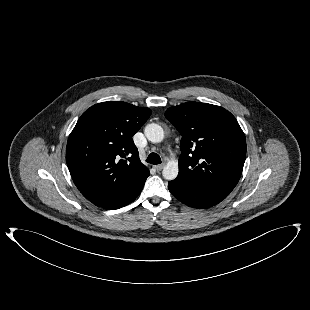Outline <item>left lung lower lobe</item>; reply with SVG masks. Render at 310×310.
<instances>
[{
	"label": "left lung lower lobe",
	"mask_w": 310,
	"mask_h": 310,
	"mask_svg": "<svg viewBox=\"0 0 310 310\" xmlns=\"http://www.w3.org/2000/svg\"><path fill=\"white\" fill-rule=\"evenodd\" d=\"M168 189L179 201L194 207L208 208L221 202L227 195L196 187L179 179L170 181Z\"/></svg>",
	"instance_id": "obj_1"
}]
</instances>
